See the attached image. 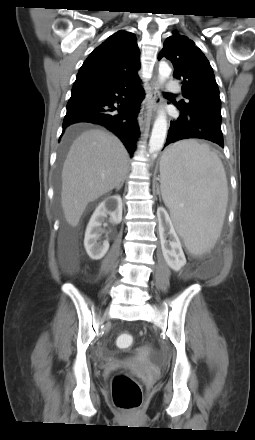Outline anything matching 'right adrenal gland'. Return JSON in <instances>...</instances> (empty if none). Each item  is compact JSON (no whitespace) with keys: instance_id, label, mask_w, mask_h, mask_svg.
I'll list each match as a JSON object with an SVG mask.
<instances>
[{"instance_id":"right-adrenal-gland-1","label":"right adrenal gland","mask_w":255,"mask_h":440,"mask_svg":"<svg viewBox=\"0 0 255 440\" xmlns=\"http://www.w3.org/2000/svg\"><path fill=\"white\" fill-rule=\"evenodd\" d=\"M123 184H124V180L120 183V185L116 187V190L119 191L122 188Z\"/></svg>"}]
</instances>
